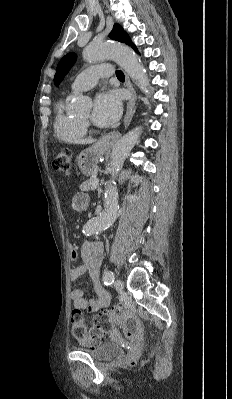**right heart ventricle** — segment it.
Here are the masks:
<instances>
[{
  "label": "right heart ventricle",
  "instance_id": "obj_1",
  "mask_svg": "<svg viewBox=\"0 0 232 399\" xmlns=\"http://www.w3.org/2000/svg\"><path fill=\"white\" fill-rule=\"evenodd\" d=\"M53 133L58 140L71 144L83 141L87 135L79 118L69 115L61 102L54 109Z\"/></svg>",
  "mask_w": 232,
  "mask_h": 399
}]
</instances>
